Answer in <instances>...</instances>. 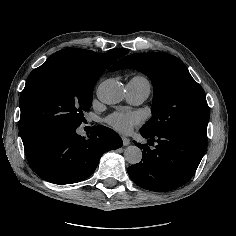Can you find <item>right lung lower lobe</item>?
Instances as JSON below:
<instances>
[{"mask_svg":"<svg viewBox=\"0 0 236 236\" xmlns=\"http://www.w3.org/2000/svg\"><path fill=\"white\" fill-rule=\"evenodd\" d=\"M77 128L52 130L24 147L31 168L42 179L55 184L80 182L94 172L105 152L123 144L105 126H93L88 138L78 135Z\"/></svg>","mask_w":236,"mask_h":236,"instance_id":"98d812e1","label":"right lung lower lobe"}]
</instances>
